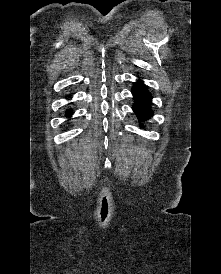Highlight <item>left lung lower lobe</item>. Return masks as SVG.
I'll list each match as a JSON object with an SVG mask.
<instances>
[{
    "label": "left lung lower lobe",
    "instance_id": "0a47b994",
    "mask_svg": "<svg viewBox=\"0 0 221 274\" xmlns=\"http://www.w3.org/2000/svg\"><path fill=\"white\" fill-rule=\"evenodd\" d=\"M132 93L135 99L133 111L137 115L138 119L146 120L150 118L153 114L150 108L152 97L146 86L141 81H138L133 86Z\"/></svg>",
    "mask_w": 221,
    "mask_h": 274
}]
</instances>
